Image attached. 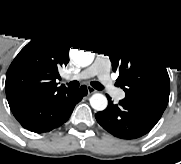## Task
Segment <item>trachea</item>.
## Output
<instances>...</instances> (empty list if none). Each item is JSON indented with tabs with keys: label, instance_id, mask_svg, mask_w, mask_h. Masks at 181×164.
<instances>
[{
	"label": "trachea",
	"instance_id": "3493384b",
	"mask_svg": "<svg viewBox=\"0 0 181 164\" xmlns=\"http://www.w3.org/2000/svg\"><path fill=\"white\" fill-rule=\"evenodd\" d=\"M67 85H68L69 88H78L79 87V82L78 81H71ZM91 85L97 90H102L103 89V86L97 81H92Z\"/></svg>",
	"mask_w": 181,
	"mask_h": 164
}]
</instances>
